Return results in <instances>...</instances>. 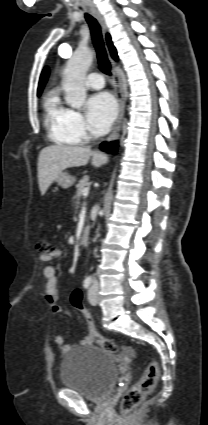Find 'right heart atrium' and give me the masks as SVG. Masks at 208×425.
<instances>
[{"label":"right heart atrium","mask_w":208,"mask_h":425,"mask_svg":"<svg viewBox=\"0 0 208 425\" xmlns=\"http://www.w3.org/2000/svg\"><path fill=\"white\" fill-rule=\"evenodd\" d=\"M67 124L72 132V134L79 140V141H86L89 138V134L87 131V126L85 123V120L81 113L68 109L67 111Z\"/></svg>","instance_id":"right-heart-atrium-1"}]
</instances>
